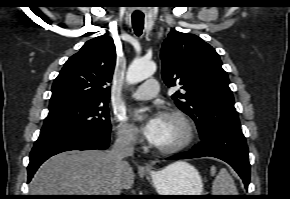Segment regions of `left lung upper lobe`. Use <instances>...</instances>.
<instances>
[{"label": "left lung upper lobe", "instance_id": "obj_1", "mask_svg": "<svg viewBox=\"0 0 290 199\" xmlns=\"http://www.w3.org/2000/svg\"><path fill=\"white\" fill-rule=\"evenodd\" d=\"M162 77L180 85L172 98L193 118L200 134L212 128L240 130L238 113L219 55L194 34L174 31L162 45Z\"/></svg>", "mask_w": 290, "mask_h": 199}]
</instances>
